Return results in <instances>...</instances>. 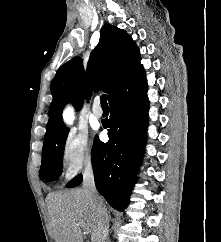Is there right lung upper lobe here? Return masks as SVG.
I'll list each match as a JSON object with an SVG mask.
<instances>
[{
  "label": "right lung upper lobe",
  "mask_w": 221,
  "mask_h": 242,
  "mask_svg": "<svg viewBox=\"0 0 221 242\" xmlns=\"http://www.w3.org/2000/svg\"><path fill=\"white\" fill-rule=\"evenodd\" d=\"M140 60L139 49L126 31L105 24L99 43L90 54L86 72L80 57L69 60L57 71L51 84L53 101L44 139L67 129L62 110L68 102L81 108L84 97L90 98L91 90L101 89L110 100L120 85L144 71Z\"/></svg>",
  "instance_id": "right-lung-upper-lobe-1"
}]
</instances>
